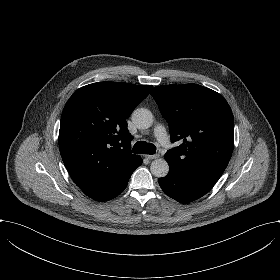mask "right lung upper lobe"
Returning a JSON list of instances; mask_svg holds the SVG:
<instances>
[{
    "instance_id": "1",
    "label": "right lung upper lobe",
    "mask_w": 280,
    "mask_h": 280,
    "mask_svg": "<svg viewBox=\"0 0 280 280\" xmlns=\"http://www.w3.org/2000/svg\"><path fill=\"white\" fill-rule=\"evenodd\" d=\"M152 86L99 82L76 90L67 101L59 149L72 180L90 198L107 201L142 164L131 153L126 119Z\"/></svg>"
}]
</instances>
